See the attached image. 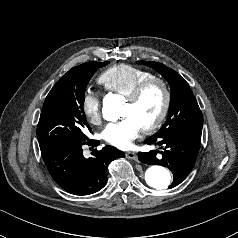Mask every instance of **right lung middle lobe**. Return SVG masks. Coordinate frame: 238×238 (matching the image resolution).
Masks as SVG:
<instances>
[{
	"label": "right lung middle lobe",
	"mask_w": 238,
	"mask_h": 238,
	"mask_svg": "<svg viewBox=\"0 0 238 238\" xmlns=\"http://www.w3.org/2000/svg\"><path fill=\"white\" fill-rule=\"evenodd\" d=\"M109 62H88L69 70L47 95L37 126L41 153L85 141L91 131L83 110L86 86L96 69Z\"/></svg>",
	"instance_id": "right-lung-middle-lobe-1"
}]
</instances>
